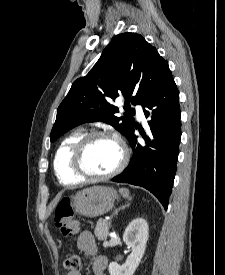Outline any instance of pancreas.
Here are the masks:
<instances>
[{
	"instance_id": "1",
	"label": "pancreas",
	"mask_w": 225,
	"mask_h": 275,
	"mask_svg": "<svg viewBox=\"0 0 225 275\" xmlns=\"http://www.w3.org/2000/svg\"><path fill=\"white\" fill-rule=\"evenodd\" d=\"M109 233V222L107 220L99 219L94 234L100 241H104L107 239Z\"/></svg>"
}]
</instances>
